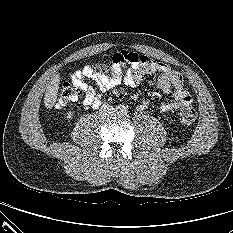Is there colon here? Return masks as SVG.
Returning a JSON list of instances; mask_svg holds the SVG:
<instances>
[{"label": "colon", "instance_id": "colon-1", "mask_svg": "<svg viewBox=\"0 0 233 233\" xmlns=\"http://www.w3.org/2000/svg\"><path fill=\"white\" fill-rule=\"evenodd\" d=\"M97 70L111 76H119L121 71L120 68L115 65L113 60L111 63L103 61L102 63L98 64ZM79 95L80 93L69 83H62L59 88L57 106H66L76 101ZM179 116L182 123L191 124L196 120L197 112L191 105H185L181 109Z\"/></svg>", "mask_w": 233, "mask_h": 233}]
</instances>
